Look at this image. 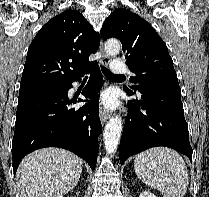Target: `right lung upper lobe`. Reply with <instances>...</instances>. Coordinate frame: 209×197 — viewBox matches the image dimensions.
Returning <instances> with one entry per match:
<instances>
[{
	"instance_id": "right-lung-upper-lobe-1",
	"label": "right lung upper lobe",
	"mask_w": 209,
	"mask_h": 197,
	"mask_svg": "<svg viewBox=\"0 0 209 197\" xmlns=\"http://www.w3.org/2000/svg\"><path fill=\"white\" fill-rule=\"evenodd\" d=\"M100 44V35L76 10H66L47 22L36 34L26 57L20 90L64 86L85 73Z\"/></svg>"
}]
</instances>
